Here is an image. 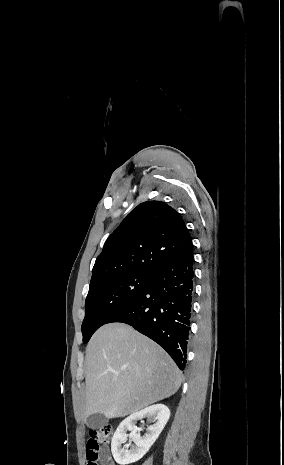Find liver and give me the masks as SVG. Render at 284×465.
Returning <instances> with one entry per match:
<instances>
[{
    "mask_svg": "<svg viewBox=\"0 0 284 465\" xmlns=\"http://www.w3.org/2000/svg\"><path fill=\"white\" fill-rule=\"evenodd\" d=\"M82 419L101 413L126 417L178 391L181 373L171 357L129 325L98 329L86 349Z\"/></svg>",
    "mask_w": 284,
    "mask_h": 465,
    "instance_id": "obj_1",
    "label": "liver"
}]
</instances>
